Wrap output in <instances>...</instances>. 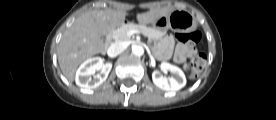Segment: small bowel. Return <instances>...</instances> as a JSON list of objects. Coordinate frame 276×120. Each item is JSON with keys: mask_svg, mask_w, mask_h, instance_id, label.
<instances>
[{"mask_svg": "<svg viewBox=\"0 0 276 120\" xmlns=\"http://www.w3.org/2000/svg\"><path fill=\"white\" fill-rule=\"evenodd\" d=\"M173 44V38L168 36L164 39L160 47V57L167 58L171 54V47ZM195 54V49L191 44H179L174 52V60L177 63H183L187 58L193 56Z\"/></svg>", "mask_w": 276, "mask_h": 120, "instance_id": "obj_1", "label": "small bowel"}]
</instances>
